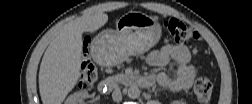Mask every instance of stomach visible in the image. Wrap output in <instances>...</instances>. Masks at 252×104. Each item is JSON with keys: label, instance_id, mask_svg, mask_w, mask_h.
I'll return each instance as SVG.
<instances>
[{"label": "stomach", "instance_id": "0dacf381", "mask_svg": "<svg viewBox=\"0 0 252 104\" xmlns=\"http://www.w3.org/2000/svg\"><path fill=\"white\" fill-rule=\"evenodd\" d=\"M161 37L155 17L140 12H129L116 22V29L102 31L94 40L92 50L103 64L117 65L129 56L145 53Z\"/></svg>", "mask_w": 252, "mask_h": 104}]
</instances>
